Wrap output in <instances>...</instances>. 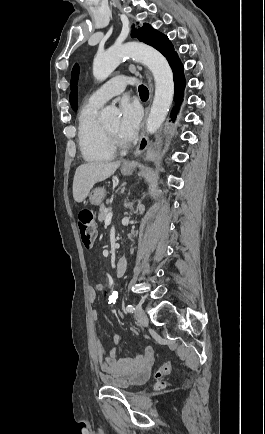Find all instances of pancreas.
<instances>
[{
    "mask_svg": "<svg viewBox=\"0 0 265 434\" xmlns=\"http://www.w3.org/2000/svg\"><path fill=\"white\" fill-rule=\"evenodd\" d=\"M110 210H111V208H105L104 204H101L100 212L98 214L99 222H104V220H106Z\"/></svg>",
    "mask_w": 265,
    "mask_h": 434,
    "instance_id": "pancreas-1",
    "label": "pancreas"
}]
</instances>
